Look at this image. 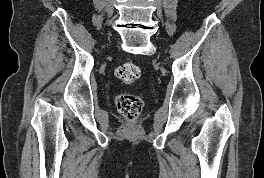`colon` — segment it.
I'll return each mask as SVG.
<instances>
[{
  "label": "colon",
  "instance_id": "obj_1",
  "mask_svg": "<svg viewBox=\"0 0 264 178\" xmlns=\"http://www.w3.org/2000/svg\"><path fill=\"white\" fill-rule=\"evenodd\" d=\"M140 74L139 66L131 61L124 62L115 69V76L125 84L135 83ZM116 106L124 117L134 120L141 112L142 101L136 95L123 93L117 96Z\"/></svg>",
  "mask_w": 264,
  "mask_h": 178
}]
</instances>
